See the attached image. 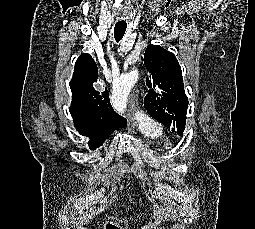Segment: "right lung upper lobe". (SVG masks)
<instances>
[{
    "mask_svg": "<svg viewBox=\"0 0 255 229\" xmlns=\"http://www.w3.org/2000/svg\"><path fill=\"white\" fill-rule=\"evenodd\" d=\"M98 69L89 54H82L75 63L70 88L72 103L69 108L74 124L81 135L91 141H105L114 130L126 126L125 118L112 108L109 92L95 90Z\"/></svg>",
    "mask_w": 255,
    "mask_h": 229,
    "instance_id": "1",
    "label": "right lung upper lobe"
}]
</instances>
